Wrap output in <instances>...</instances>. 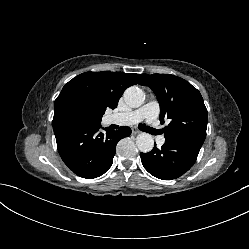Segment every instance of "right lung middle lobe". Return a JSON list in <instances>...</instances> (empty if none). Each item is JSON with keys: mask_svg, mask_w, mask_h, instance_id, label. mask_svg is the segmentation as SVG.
Segmentation results:
<instances>
[{"mask_svg": "<svg viewBox=\"0 0 249 249\" xmlns=\"http://www.w3.org/2000/svg\"><path fill=\"white\" fill-rule=\"evenodd\" d=\"M53 120H66L82 125H93L90 103L83 97L68 95L54 103Z\"/></svg>", "mask_w": 249, "mask_h": 249, "instance_id": "1", "label": "right lung middle lobe"}]
</instances>
